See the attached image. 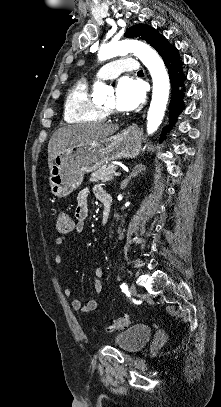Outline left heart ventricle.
<instances>
[{"mask_svg":"<svg viewBox=\"0 0 221 407\" xmlns=\"http://www.w3.org/2000/svg\"><path fill=\"white\" fill-rule=\"evenodd\" d=\"M116 104H117V100H116L115 95L113 94L112 97L110 98V100H108V101L105 103V106H107V107H115Z\"/></svg>","mask_w":221,"mask_h":407,"instance_id":"b2bd125f","label":"left heart ventricle"}]
</instances>
